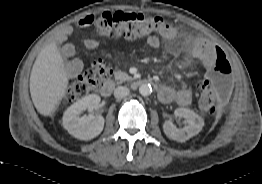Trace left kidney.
<instances>
[{
	"mask_svg": "<svg viewBox=\"0 0 262 184\" xmlns=\"http://www.w3.org/2000/svg\"><path fill=\"white\" fill-rule=\"evenodd\" d=\"M174 114L176 117L186 119L188 125L182 129H178L171 121H166L163 124V130L169 139L185 142L197 135L204 126V119L188 108H177Z\"/></svg>",
	"mask_w": 262,
	"mask_h": 184,
	"instance_id": "1",
	"label": "left kidney"
}]
</instances>
